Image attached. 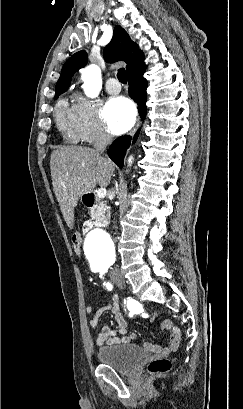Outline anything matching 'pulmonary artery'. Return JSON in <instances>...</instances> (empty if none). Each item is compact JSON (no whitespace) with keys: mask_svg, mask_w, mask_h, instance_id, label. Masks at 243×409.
<instances>
[{"mask_svg":"<svg viewBox=\"0 0 243 409\" xmlns=\"http://www.w3.org/2000/svg\"><path fill=\"white\" fill-rule=\"evenodd\" d=\"M106 91L109 94H118L121 91V86L115 78H110L106 82Z\"/></svg>","mask_w":243,"mask_h":409,"instance_id":"1","label":"pulmonary artery"}]
</instances>
